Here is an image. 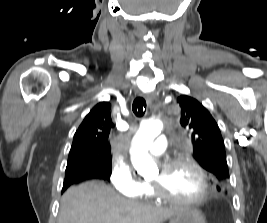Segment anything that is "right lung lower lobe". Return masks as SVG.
<instances>
[{
    "label": "right lung lower lobe",
    "instance_id": "obj_1",
    "mask_svg": "<svg viewBox=\"0 0 267 223\" xmlns=\"http://www.w3.org/2000/svg\"><path fill=\"white\" fill-rule=\"evenodd\" d=\"M93 178L104 179V177L98 171L77 170L71 173H67L65 174L62 192L74 183Z\"/></svg>",
    "mask_w": 267,
    "mask_h": 223
}]
</instances>
